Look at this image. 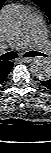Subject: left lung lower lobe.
Returning <instances> with one entry per match:
<instances>
[{"label": "left lung lower lobe", "instance_id": "1", "mask_svg": "<svg viewBox=\"0 0 51 153\" xmlns=\"http://www.w3.org/2000/svg\"><path fill=\"white\" fill-rule=\"evenodd\" d=\"M41 83L48 89H51V79L46 81H41Z\"/></svg>", "mask_w": 51, "mask_h": 153}]
</instances>
